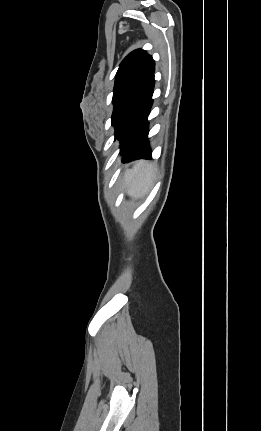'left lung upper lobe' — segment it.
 Masks as SVG:
<instances>
[{
    "label": "left lung upper lobe",
    "instance_id": "1",
    "mask_svg": "<svg viewBox=\"0 0 261 431\" xmlns=\"http://www.w3.org/2000/svg\"><path fill=\"white\" fill-rule=\"evenodd\" d=\"M154 71L153 58L142 49L132 51L121 62L115 76L112 99L114 109L111 122L115 127V137L127 108Z\"/></svg>",
    "mask_w": 261,
    "mask_h": 431
}]
</instances>
